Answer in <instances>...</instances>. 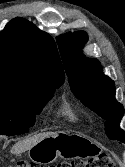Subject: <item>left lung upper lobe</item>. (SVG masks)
<instances>
[{"mask_svg": "<svg viewBox=\"0 0 125 167\" xmlns=\"http://www.w3.org/2000/svg\"><path fill=\"white\" fill-rule=\"evenodd\" d=\"M87 39L85 32L57 37L71 90L85 106L106 120L105 132L110 139L125 143V131L119 127L124 108L115 99V83L102 74L97 59L83 55L80 48Z\"/></svg>", "mask_w": 125, "mask_h": 167, "instance_id": "5c2ea615", "label": "left lung upper lobe"}]
</instances>
